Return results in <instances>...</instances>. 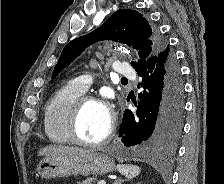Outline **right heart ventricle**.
<instances>
[{
	"mask_svg": "<svg viewBox=\"0 0 224 184\" xmlns=\"http://www.w3.org/2000/svg\"><path fill=\"white\" fill-rule=\"evenodd\" d=\"M82 95L83 92L70 83L60 88L47 103L44 128L51 142L71 143L68 135V119L75 101Z\"/></svg>",
	"mask_w": 224,
	"mask_h": 184,
	"instance_id": "1",
	"label": "right heart ventricle"
}]
</instances>
